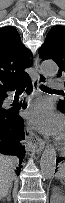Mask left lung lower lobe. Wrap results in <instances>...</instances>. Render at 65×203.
Segmentation results:
<instances>
[{
    "mask_svg": "<svg viewBox=\"0 0 65 203\" xmlns=\"http://www.w3.org/2000/svg\"><path fill=\"white\" fill-rule=\"evenodd\" d=\"M61 161H65V156H64V157L57 158L56 164L59 163V162H61Z\"/></svg>",
    "mask_w": 65,
    "mask_h": 203,
    "instance_id": "obj_1",
    "label": "left lung lower lobe"
}]
</instances>
